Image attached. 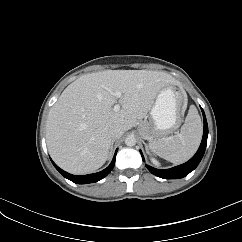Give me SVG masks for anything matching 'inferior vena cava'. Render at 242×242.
I'll use <instances>...</instances> for the list:
<instances>
[{"label": "inferior vena cava", "instance_id": "inferior-vena-cava-1", "mask_svg": "<svg viewBox=\"0 0 242 242\" xmlns=\"http://www.w3.org/2000/svg\"><path fill=\"white\" fill-rule=\"evenodd\" d=\"M109 134L113 140L120 138L124 134V130L120 126H114L109 130Z\"/></svg>", "mask_w": 242, "mask_h": 242}]
</instances>
